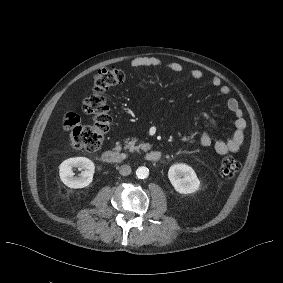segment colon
<instances>
[{"label":"colon","mask_w":283,"mask_h":283,"mask_svg":"<svg viewBox=\"0 0 283 283\" xmlns=\"http://www.w3.org/2000/svg\"><path fill=\"white\" fill-rule=\"evenodd\" d=\"M127 80V74L118 68L107 67L99 70L94 77L90 93L83 99L82 108L92 117V123L84 125L75 113H67L63 127L69 135L72 146L81 151H96L102 144L111 123L109 105L105 92ZM240 169V163L233 157L221 161L220 174L230 178Z\"/></svg>","instance_id":"5ec220e1"}]
</instances>
